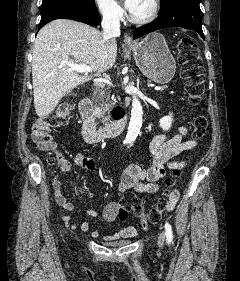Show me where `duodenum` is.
I'll return each instance as SVG.
<instances>
[{
    "label": "duodenum",
    "instance_id": "410a0bca",
    "mask_svg": "<svg viewBox=\"0 0 240 281\" xmlns=\"http://www.w3.org/2000/svg\"><path fill=\"white\" fill-rule=\"evenodd\" d=\"M79 110L83 119L82 136L89 144L98 143L104 139L118 135L124 130L127 124V115L123 110H119L113 115L109 123L97 127L92 115V104L88 98L80 101Z\"/></svg>",
    "mask_w": 240,
    "mask_h": 281
}]
</instances>
